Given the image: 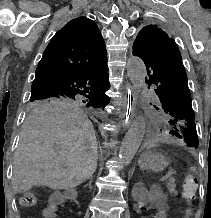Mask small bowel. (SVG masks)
Instances as JSON below:
<instances>
[{"label":"small bowel","instance_id":"obj_1","mask_svg":"<svg viewBox=\"0 0 211 218\" xmlns=\"http://www.w3.org/2000/svg\"><path fill=\"white\" fill-rule=\"evenodd\" d=\"M152 214L149 218H166V207L163 203H155L149 207ZM44 218H56L57 217V207L55 205H50L43 211ZM148 218V217H143Z\"/></svg>","mask_w":211,"mask_h":218}]
</instances>
